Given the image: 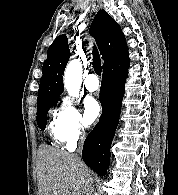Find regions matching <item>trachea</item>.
I'll return each mask as SVG.
<instances>
[{"instance_id": "obj_1", "label": "trachea", "mask_w": 178, "mask_h": 195, "mask_svg": "<svg viewBox=\"0 0 178 195\" xmlns=\"http://www.w3.org/2000/svg\"><path fill=\"white\" fill-rule=\"evenodd\" d=\"M92 54H93V68H94V71L96 72L97 75H101V72H102L101 60H100L99 52H98L95 45L93 47Z\"/></svg>"}]
</instances>
